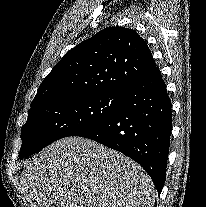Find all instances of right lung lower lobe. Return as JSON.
<instances>
[{
  "instance_id": "right-lung-lower-lobe-1",
  "label": "right lung lower lobe",
  "mask_w": 206,
  "mask_h": 207,
  "mask_svg": "<svg viewBox=\"0 0 206 207\" xmlns=\"http://www.w3.org/2000/svg\"><path fill=\"white\" fill-rule=\"evenodd\" d=\"M123 95V103L115 114L76 136L132 158L149 174L160 194L166 179L172 130V106L160 70L156 68Z\"/></svg>"
}]
</instances>
